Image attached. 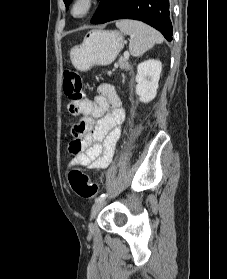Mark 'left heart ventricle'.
I'll return each instance as SVG.
<instances>
[{"instance_id":"1","label":"left heart ventricle","mask_w":227,"mask_h":279,"mask_svg":"<svg viewBox=\"0 0 227 279\" xmlns=\"http://www.w3.org/2000/svg\"><path fill=\"white\" fill-rule=\"evenodd\" d=\"M81 11H82V7L79 6V7L76 9V12H77V13H80Z\"/></svg>"}]
</instances>
